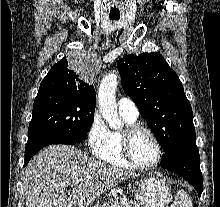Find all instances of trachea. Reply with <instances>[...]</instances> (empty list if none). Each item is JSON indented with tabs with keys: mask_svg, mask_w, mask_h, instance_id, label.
I'll use <instances>...</instances> for the list:
<instances>
[{
	"mask_svg": "<svg viewBox=\"0 0 220 207\" xmlns=\"http://www.w3.org/2000/svg\"><path fill=\"white\" fill-rule=\"evenodd\" d=\"M110 19H112V20H118V18H110Z\"/></svg>",
	"mask_w": 220,
	"mask_h": 207,
	"instance_id": "trachea-1",
	"label": "trachea"
}]
</instances>
